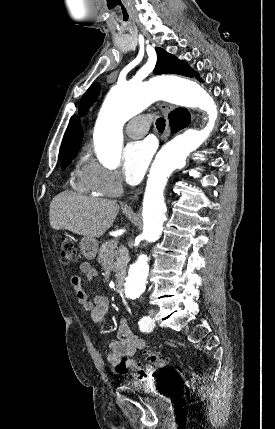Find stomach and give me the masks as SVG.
Segmentation results:
<instances>
[{
    "instance_id": "obj_1",
    "label": "stomach",
    "mask_w": 275,
    "mask_h": 429,
    "mask_svg": "<svg viewBox=\"0 0 275 429\" xmlns=\"http://www.w3.org/2000/svg\"><path fill=\"white\" fill-rule=\"evenodd\" d=\"M80 250L87 259H93L98 250V241L94 238L83 237L80 241Z\"/></svg>"
}]
</instances>
